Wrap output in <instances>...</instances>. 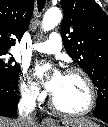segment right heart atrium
Wrapping results in <instances>:
<instances>
[{"label": "right heart atrium", "instance_id": "d8ad5b80", "mask_svg": "<svg viewBox=\"0 0 108 127\" xmlns=\"http://www.w3.org/2000/svg\"><path fill=\"white\" fill-rule=\"evenodd\" d=\"M19 88L21 96L31 102H40L44 99V92L38 84L30 77L26 70L21 72L19 78Z\"/></svg>", "mask_w": 108, "mask_h": 127}]
</instances>
